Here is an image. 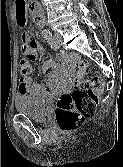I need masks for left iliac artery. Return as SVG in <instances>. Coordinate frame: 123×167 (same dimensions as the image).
Segmentation results:
<instances>
[{"mask_svg":"<svg viewBox=\"0 0 123 167\" xmlns=\"http://www.w3.org/2000/svg\"><path fill=\"white\" fill-rule=\"evenodd\" d=\"M44 38L47 40V42L51 45L52 48H54L55 43H54V38L51 34V32L49 31V34H47L46 36H44Z\"/></svg>","mask_w":123,"mask_h":167,"instance_id":"left-iliac-artery-1","label":"left iliac artery"}]
</instances>
